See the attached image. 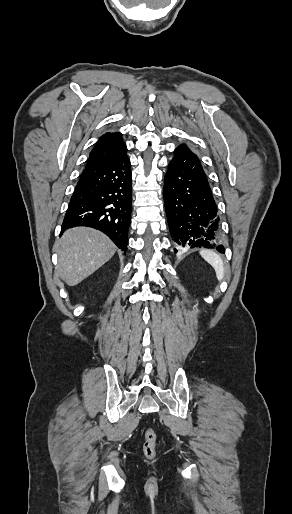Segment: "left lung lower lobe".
<instances>
[{
    "label": "left lung lower lobe",
    "mask_w": 292,
    "mask_h": 514,
    "mask_svg": "<svg viewBox=\"0 0 292 514\" xmlns=\"http://www.w3.org/2000/svg\"><path fill=\"white\" fill-rule=\"evenodd\" d=\"M164 204L171 236L184 247L216 248L224 253L218 209L198 156L178 146L164 178Z\"/></svg>",
    "instance_id": "obj_1"
}]
</instances>
